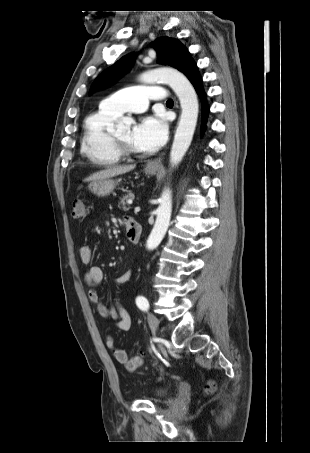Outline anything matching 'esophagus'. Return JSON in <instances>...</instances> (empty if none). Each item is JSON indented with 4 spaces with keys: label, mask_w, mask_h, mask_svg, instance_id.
I'll return each instance as SVG.
<instances>
[{
    "label": "esophagus",
    "mask_w": 310,
    "mask_h": 453,
    "mask_svg": "<svg viewBox=\"0 0 310 453\" xmlns=\"http://www.w3.org/2000/svg\"><path fill=\"white\" fill-rule=\"evenodd\" d=\"M161 163H162V158L161 157H158L152 161H150L147 166L150 167V168H158L161 166Z\"/></svg>",
    "instance_id": "obj_1"
}]
</instances>
